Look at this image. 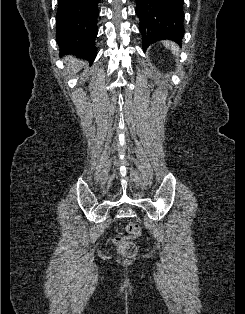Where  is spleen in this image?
<instances>
[{"mask_svg":"<svg viewBox=\"0 0 245 314\" xmlns=\"http://www.w3.org/2000/svg\"><path fill=\"white\" fill-rule=\"evenodd\" d=\"M163 45L166 48L170 49L174 55L178 56V54H179V47L175 43L170 42V41H164Z\"/></svg>","mask_w":245,"mask_h":314,"instance_id":"obj_1","label":"spleen"}]
</instances>
